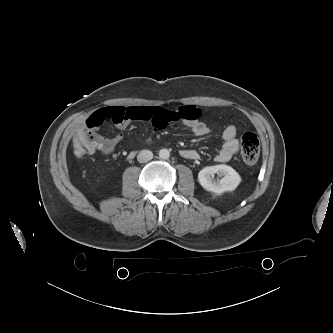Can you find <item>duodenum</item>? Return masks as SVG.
<instances>
[{
	"label": "duodenum",
	"instance_id": "duodenum-1",
	"mask_svg": "<svg viewBox=\"0 0 333 333\" xmlns=\"http://www.w3.org/2000/svg\"><path fill=\"white\" fill-rule=\"evenodd\" d=\"M135 153L130 154V158L134 157Z\"/></svg>",
	"mask_w": 333,
	"mask_h": 333
}]
</instances>
